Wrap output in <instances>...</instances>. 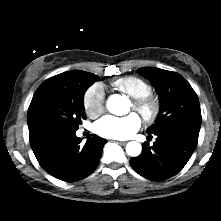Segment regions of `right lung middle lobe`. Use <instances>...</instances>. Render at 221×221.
<instances>
[{
	"mask_svg": "<svg viewBox=\"0 0 221 221\" xmlns=\"http://www.w3.org/2000/svg\"><path fill=\"white\" fill-rule=\"evenodd\" d=\"M98 80L93 73L73 70L44 81L28 109L29 132L43 136L57 131H76L81 119L86 118L84 94Z\"/></svg>",
	"mask_w": 221,
	"mask_h": 221,
	"instance_id": "dd1d6c3e",
	"label": "right lung middle lobe"
}]
</instances>
